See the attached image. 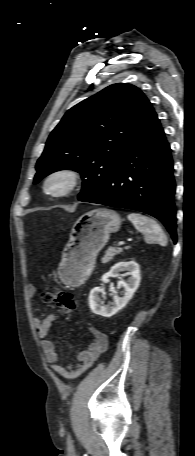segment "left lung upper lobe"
<instances>
[{
	"mask_svg": "<svg viewBox=\"0 0 195 456\" xmlns=\"http://www.w3.org/2000/svg\"><path fill=\"white\" fill-rule=\"evenodd\" d=\"M152 105L137 87L113 84L64 115L36 164L34 183L59 170L82 175L79 200L95 193L112 172L128 139Z\"/></svg>",
	"mask_w": 195,
	"mask_h": 456,
	"instance_id": "1",
	"label": "left lung upper lobe"
}]
</instances>
